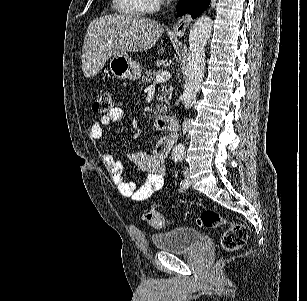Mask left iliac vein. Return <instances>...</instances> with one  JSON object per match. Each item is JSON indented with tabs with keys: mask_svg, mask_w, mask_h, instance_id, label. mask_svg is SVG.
Here are the masks:
<instances>
[{
	"mask_svg": "<svg viewBox=\"0 0 307 301\" xmlns=\"http://www.w3.org/2000/svg\"><path fill=\"white\" fill-rule=\"evenodd\" d=\"M183 172H184V176H185V178L187 180V185H186L185 188H189V186H190V174H189L188 168L185 167Z\"/></svg>",
	"mask_w": 307,
	"mask_h": 301,
	"instance_id": "left-iliac-vein-1",
	"label": "left iliac vein"
}]
</instances>
